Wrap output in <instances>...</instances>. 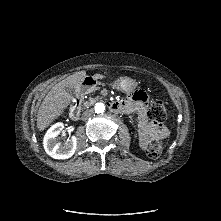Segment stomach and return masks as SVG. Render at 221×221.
Listing matches in <instances>:
<instances>
[{
  "label": "stomach",
  "mask_w": 221,
  "mask_h": 221,
  "mask_svg": "<svg viewBox=\"0 0 221 221\" xmlns=\"http://www.w3.org/2000/svg\"><path fill=\"white\" fill-rule=\"evenodd\" d=\"M114 86L118 88L119 90L127 94H130L137 87V82L134 79L129 78V77H121L117 81H115Z\"/></svg>",
  "instance_id": "0dacf381"
}]
</instances>
